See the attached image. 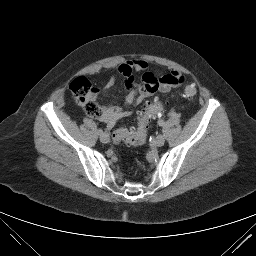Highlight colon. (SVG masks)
<instances>
[{
    "label": "colon",
    "instance_id": "colon-1",
    "mask_svg": "<svg viewBox=\"0 0 256 256\" xmlns=\"http://www.w3.org/2000/svg\"><path fill=\"white\" fill-rule=\"evenodd\" d=\"M70 92L76 102L82 106L85 113L91 117H101L102 109L96 101V89L85 77L75 78L70 86ZM197 94V89L193 85H187L184 88L183 96L193 98ZM163 105L160 101L149 102L139 118L138 128L135 131L118 129L113 134L115 143L125 142L130 145H141L145 142L147 136V127L149 122L155 117L161 115Z\"/></svg>",
    "mask_w": 256,
    "mask_h": 256
}]
</instances>
